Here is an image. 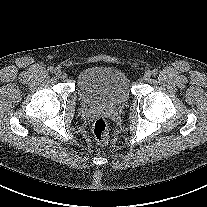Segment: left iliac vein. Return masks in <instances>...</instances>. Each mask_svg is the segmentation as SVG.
<instances>
[{"instance_id":"left-iliac-vein-1","label":"left iliac vein","mask_w":207,"mask_h":207,"mask_svg":"<svg viewBox=\"0 0 207 207\" xmlns=\"http://www.w3.org/2000/svg\"><path fill=\"white\" fill-rule=\"evenodd\" d=\"M151 72L150 71H146L145 73H144V75H143V78L145 79V80H148V79H150V77H151Z\"/></svg>"}]
</instances>
